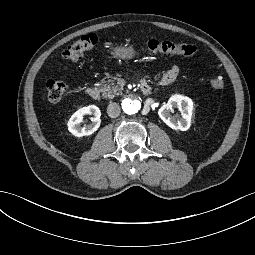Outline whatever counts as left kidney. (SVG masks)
<instances>
[{
  "label": "left kidney",
  "instance_id": "left-kidney-1",
  "mask_svg": "<svg viewBox=\"0 0 255 255\" xmlns=\"http://www.w3.org/2000/svg\"><path fill=\"white\" fill-rule=\"evenodd\" d=\"M176 107L181 112V117L172 116L170 112ZM193 113V102L189 97L175 94L170 97L168 103L163 105L158 115L170 128L174 130L186 131L191 126V118Z\"/></svg>",
  "mask_w": 255,
  "mask_h": 255
}]
</instances>
